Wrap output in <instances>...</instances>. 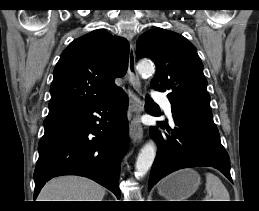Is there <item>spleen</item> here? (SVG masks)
Returning <instances> with one entry per match:
<instances>
[{
  "mask_svg": "<svg viewBox=\"0 0 259 211\" xmlns=\"http://www.w3.org/2000/svg\"><path fill=\"white\" fill-rule=\"evenodd\" d=\"M206 191L213 197L204 201H230L228 190L220 178L212 173H206Z\"/></svg>",
  "mask_w": 259,
  "mask_h": 211,
  "instance_id": "spleen-1",
  "label": "spleen"
}]
</instances>
